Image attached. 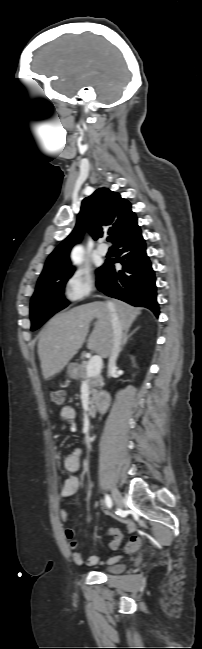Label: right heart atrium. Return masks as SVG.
Returning a JSON list of instances; mask_svg holds the SVG:
<instances>
[{
  "label": "right heart atrium",
  "instance_id": "obj_1",
  "mask_svg": "<svg viewBox=\"0 0 202 649\" xmlns=\"http://www.w3.org/2000/svg\"><path fill=\"white\" fill-rule=\"evenodd\" d=\"M95 290L92 273L86 269H76L68 274L62 286L64 302H76L89 297Z\"/></svg>",
  "mask_w": 202,
  "mask_h": 649
}]
</instances>
